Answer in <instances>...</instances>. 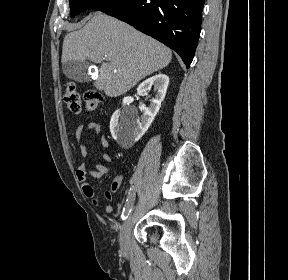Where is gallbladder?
I'll use <instances>...</instances> for the list:
<instances>
[{"instance_id": "obj_1", "label": "gallbladder", "mask_w": 288, "mask_h": 280, "mask_svg": "<svg viewBox=\"0 0 288 280\" xmlns=\"http://www.w3.org/2000/svg\"><path fill=\"white\" fill-rule=\"evenodd\" d=\"M89 68V62L84 61H67L62 65L63 73L69 79H72L76 82H86L89 80L87 76V71Z\"/></svg>"}]
</instances>
